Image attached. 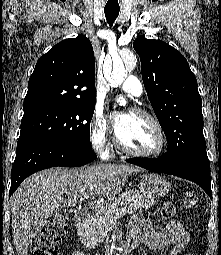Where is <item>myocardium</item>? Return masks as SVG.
I'll return each mask as SVG.
<instances>
[{
    "mask_svg": "<svg viewBox=\"0 0 221 255\" xmlns=\"http://www.w3.org/2000/svg\"><path fill=\"white\" fill-rule=\"evenodd\" d=\"M131 112L147 119L148 121H150L152 123V125L154 126V128L156 129V132L158 134V144H157L156 148H154L153 150H150V151L134 150V149L127 147L120 140L118 134L115 133L114 141H115L116 147L123 153L131 155V156H135V157L153 158V157L160 156L166 148V135H165L162 125L160 124V122L154 115L150 114L149 112H147L145 110H142L140 108H133L131 110Z\"/></svg>",
    "mask_w": 221,
    "mask_h": 255,
    "instance_id": "myocardium-1",
    "label": "myocardium"
}]
</instances>
